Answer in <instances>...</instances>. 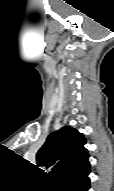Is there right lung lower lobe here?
I'll return each instance as SVG.
<instances>
[{
  "label": "right lung lower lobe",
  "instance_id": "obj_1",
  "mask_svg": "<svg viewBox=\"0 0 114 191\" xmlns=\"http://www.w3.org/2000/svg\"><path fill=\"white\" fill-rule=\"evenodd\" d=\"M90 169L73 176L67 177L59 183L60 191H88L90 179L88 177Z\"/></svg>",
  "mask_w": 114,
  "mask_h": 191
}]
</instances>
